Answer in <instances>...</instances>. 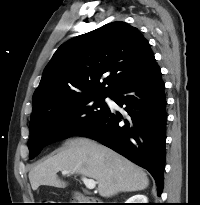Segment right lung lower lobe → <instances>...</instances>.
<instances>
[{"label": "right lung lower lobe", "instance_id": "1", "mask_svg": "<svg viewBox=\"0 0 200 205\" xmlns=\"http://www.w3.org/2000/svg\"><path fill=\"white\" fill-rule=\"evenodd\" d=\"M161 70L154 61L110 98L125 113L110 109L78 136L94 139L148 170L158 196L163 189L166 143V96Z\"/></svg>", "mask_w": 200, "mask_h": 205}]
</instances>
